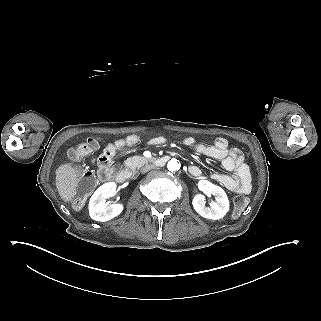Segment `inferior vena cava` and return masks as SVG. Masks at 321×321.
Masks as SVG:
<instances>
[{
    "label": "inferior vena cava",
    "mask_w": 321,
    "mask_h": 321,
    "mask_svg": "<svg viewBox=\"0 0 321 321\" xmlns=\"http://www.w3.org/2000/svg\"><path fill=\"white\" fill-rule=\"evenodd\" d=\"M152 169H155V166L154 165H145L144 167L141 168V173H146Z\"/></svg>",
    "instance_id": "602c4592"
}]
</instances>
